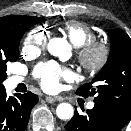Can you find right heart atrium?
<instances>
[{
  "label": "right heart atrium",
  "mask_w": 131,
  "mask_h": 131,
  "mask_svg": "<svg viewBox=\"0 0 131 131\" xmlns=\"http://www.w3.org/2000/svg\"><path fill=\"white\" fill-rule=\"evenodd\" d=\"M48 32L41 27L30 30L23 39L22 52L26 56L39 54L47 45Z\"/></svg>",
  "instance_id": "1"
}]
</instances>
